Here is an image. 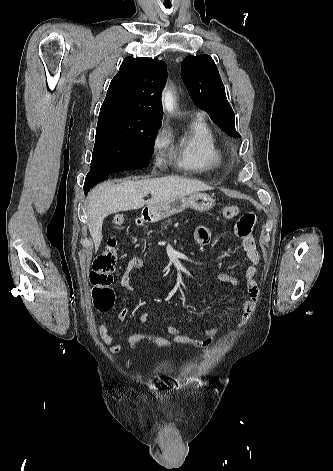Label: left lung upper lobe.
<instances>
[{"instance_id": "5c2ea615", "label": "left lung upper lobe", "mask_w": 333, "mask_h": 471, "mask_svg": "<svg viewBox=\"0 0 333 471\" xmlns=\"http://www.w3.org/2000/svg\"><path fill=\"white\" fill-rule=\"evenodd\" d=\"M181 77L194 104L228 135L240 137L235 129V114L212 58L207 54L187 56L181 65Z\"/></svg>"}]
</instances>
